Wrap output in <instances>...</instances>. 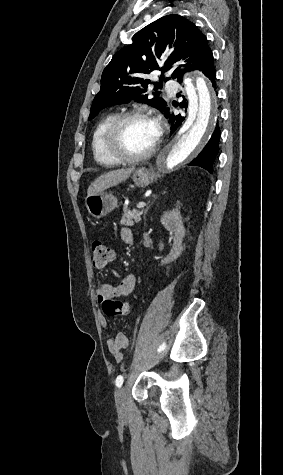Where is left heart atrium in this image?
Instances as JSON below:
<instances>
[{
	"label": "left heart atrium",
	"mask_w": 283,
	"mask_h": 475,
	"mask_svg": "<svg viewBox=\"0 0 283 475\" xmlns=\"http://www.w3.org/2000/svg\"><path fill=\"white\" fill-rule=\"evenodd\" d=\"M155 126H156V128H157V135H158V133H159V125H158V122H157L156 120H155Z\"/></svg>",
	"instance_id": "39dd6f15"
}]
</instances>
